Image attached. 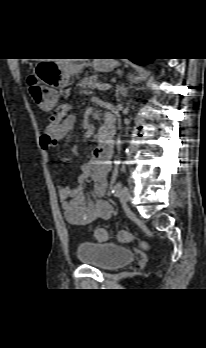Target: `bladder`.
Wrapping results in <instances>:
<instances>
[{"instance_id":"obj_1","label":"bladder","mask_w":206,"mask_h":348,"mask_svg":"<svg viewBox=\"0 0 206 348\" xmlns=\"http://www.w3.org/2000/svg\"><path fill=\"white\" fill-rule=\"evenodd\" d=\"M135 256V252L129 247L115 243L82 242L77 246V257L83 265L105 271H111L130 263Z\"/></svg>"}]
</instances>
